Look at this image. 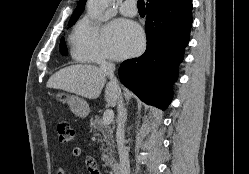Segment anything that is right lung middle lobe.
<instances>
[{
	"mask_svg": "<svg viewBox=\"0 0 249 174\" xmlns=\"http://www.w3.org/2000/svg\"><path fill=\"white\" fill-rule=\"evenodd\" d=\"M74 23H75V21H74V22H69V26H72ZM60 52H61L63 55H67V50H66V47H65L64 38L61 39V43H60Z\"/></svg>",
	"mask_w": 249,
	"mask_h": 174,
	"instance_id": "obj_1",
	"label": "right lung middle lobe"
}]
</instances>
